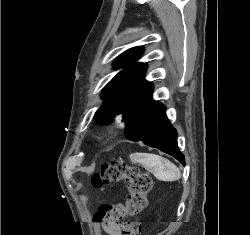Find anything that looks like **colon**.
<instances>
[{
    "mask_svg": "<svg viewBox=\"0 0 250 235\" xmlns=\"http://www.w3.org/2000/svg\"><path fill=\"white\" fill-rule=\"evenodd\" d=\"M117 182L126 184L128 192L126 202L101 205L94 215V220L102 225L119 226L122 235H140L141 225L132 218L139 215L146 207L152 180L146 173L121 160L102 165L92 177V183L96 188Z\"/></svg>",
    "mask_w": 250,
    "mask_h": 235,
    "instance_id": "5ec220e1",
    "label": "colon"
}]
</instances>
